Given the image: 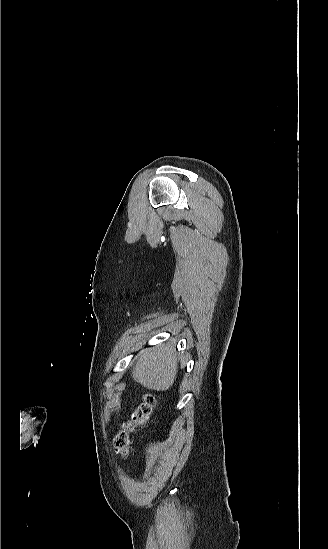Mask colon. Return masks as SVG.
Returning <instances> with one entry per match:
<instances>
[{"label": "colon", "instance_id": "5ec220e1", "mask_svg": "<svg viewBox=\"0 0 328 549\" xmlns=\"http://www.w3.org/2000/svg\"><path fill=\"white\" fill-rule=\"evenodd\" d=\"M154 406L155 400L153 396L146 395L143 402L132 412L131 419L124 424L114 439V445L119 455L125 458L130 454V434L137 427L148 422Z\"/></svg>", "mask_w": 328, "mask_h": 549}]
</instances>
